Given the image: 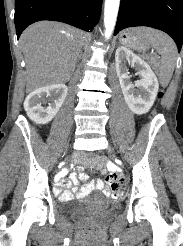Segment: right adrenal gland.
<instances>
[{"label": "right adrenal gland", "instance_id": "obj_1", "mask_svg": "<svg viewBox=\"0 0 183 246\" xmlns=\"http://www.w3.org/2000/svg\"><path fill=\"white\" fill-rule=\"evenodd\" d=\"M80 55H81V52H80L79 55H78V60H79V58H80Z\"/></svg>", "mask_w": 183, "mask_h": 246}]
</instances>
